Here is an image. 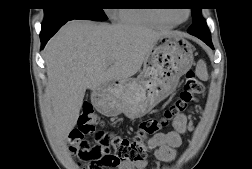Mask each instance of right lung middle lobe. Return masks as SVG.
Instances as JSON below:
<instances>
[{
	"label": "right lung middle lobe",
	"instance_id": "dd1d6c3e",
	"mask_svg": "<svg viewBox=\"0 0 252 169\" xmlns=\"http://www.w3.org/2000/svg\"><path fill=\"white\" fill-rule=\"evenodd\" d=\"M103 0H46L42 28L74 19L104 21Z\"/></svg>",
	"mask_w": 252,
	"mask_h": 169
}]
</instances>
